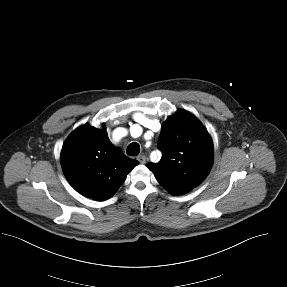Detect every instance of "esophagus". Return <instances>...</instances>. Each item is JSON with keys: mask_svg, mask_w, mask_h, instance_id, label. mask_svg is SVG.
Listing matches in <instances>:
<instances>
[{"mask_svg": "<svg viewBox=\"0 0 287 287\" xmlns=\"http://www.w3.org/2000/svg\"><path fill=\"white\" fill-rule=\"evenodd\" d=\"M137 160L141 163V164H145L146 163V157L145 155L141 154L137 157Z\"/></svg>", "mask_w": 287, "mask_h": 287, "instance_id": "obj_1", "label": "esophagus"}]
</instances>
